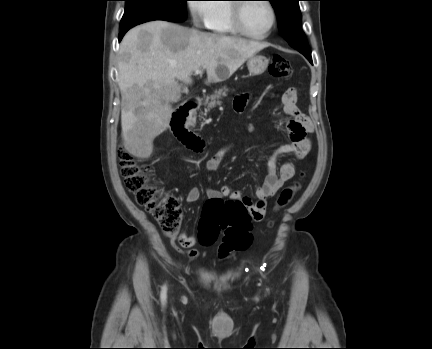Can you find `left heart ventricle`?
Returning <instances> with one entry per match:
<instances>
[{
  "label": "left heart ventricle",
  "mask_w": 432,
  "mask_h": 349,
  "mask_svg": "<svg viewBox=\"0 0 432 349\" xmlns=\"http://www.w3.org/2000/svg\"><path fill=\"white\" fill-rule=\"evenodd\" d=\"M245 28L253 34L265 33L272 21L271 12L264 2L247 4L242 13Z\"/></svg>",
  "instance_id": "b2bd125f"
}]
</instances>
